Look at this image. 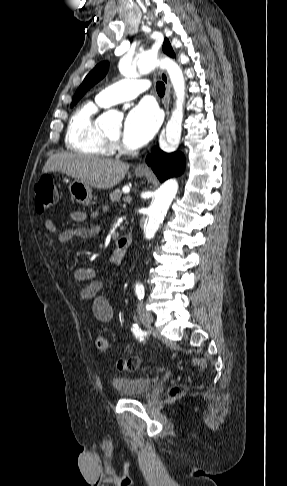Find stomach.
Returning <instances> with one entry per match:
<instances>
[{"label": "stomach", "instance_id": "obj_1", "mask_svg": "<svg viewBox=\"0 0 287 486\" xmlns=\"http://www.w3.org/2000/svg\"><path fill=\"white\" fill-rule=\"evenodd\" d=\"M136 176L142 177L144 175L143 172H136ZM69 191L71 197L82 205L90 204L92 200V188L90 185H87L81 181L74 180L69 185Z\"/></svg>", "mask_w": 287, "mask_h": 486}]
</instances>
